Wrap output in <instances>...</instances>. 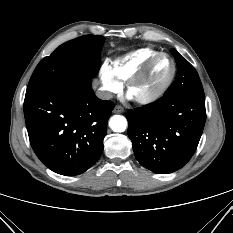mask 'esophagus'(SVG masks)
Masks as SVG:
<instances>
[{"mask_svg":"<svg viewBox=\"0 0 233 233\" xmlns=\"http://www.w3.org/2000/svg\"><path fill=\"white\" fill-rule=\"evenodd\" d=\"M113 112L116 113V114H118V113H123V112H124V109H123L122 106L116 105V106L114 107Z\"/></svg>","mask_w":233,"mask_h":233,"instance_id":"1","label":"esophagus"}]
</instances>
